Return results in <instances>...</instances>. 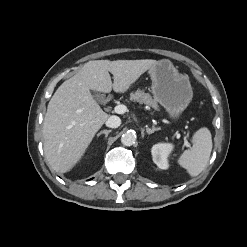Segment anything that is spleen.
Returning a JSON list of instances; mask_svg holds the SVG:
<instances>
[{
    "mask_svg": "<svg viewBox=\"0 0 247 247\" xmlns=\"http://www.w3.org/2000/svg\"><path fill=\"white\" fill-rule=\"evenodd\" d=\"M192 142L193 146L183 152L178 163L190 176L195 177L203 171L210 158L212 138L208 128L203 127L197 130L192 137Z\"/></svg>",
    "mask_w": 247,
    "mask_h": 247,
    "instance_id": "spleen-1",
    "label": "spleen"
}]
</instances>
